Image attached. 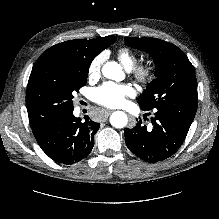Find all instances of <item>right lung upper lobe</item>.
<instances>
[{
    "instance_id": "obj_1",
    "label": "right lung upper lobe",
    "mask_w": 219,
    "mask_h": 219,
    "mask_svg": "<svg viewBox=\"0 0 219 219\" xmlns=\"http://www.w3.org/2000/svg\"><path fill=\"white\" fill-rule=\"evenodd\" d=\"M116 38L106 36L93 40H70L54 45L46 52L60 53L69 58H80L90 63L104 49L115 43Z\"/></svg>"
}]
</instances>
